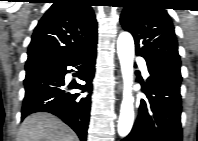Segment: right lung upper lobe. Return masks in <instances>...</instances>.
Returning <instances> with one entry per match:
<instances>
[{
    "label": "right lung upper lobe",
    "mask_w": 198,
    "mask_h": 141,
    "mask_svg": "<svg viewBox=\"0 0 198 141\" xmlns=\"http://www.w3.org/2000/svg\"><path fill=\"white\" fill-rule=\"evenodd\" d=\"M96 37L97 22L88 0H56L34 30L25 69L70 57Z\"/></svg>",
    "instance_id": "right-lung-upper-lobe-1"
}]
</instances>
